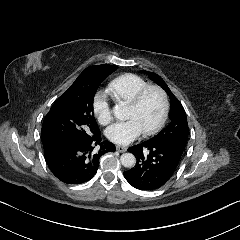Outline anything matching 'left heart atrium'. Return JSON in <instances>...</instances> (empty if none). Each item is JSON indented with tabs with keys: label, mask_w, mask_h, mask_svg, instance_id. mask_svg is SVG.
I'll use <instances>...</instances> for the list:
<instances>
[{
	"label": "left heart atrium",
	"mask_w": 240,
	"mask_h": 240,
	"mask_svg": "<svg viewBox=\"0 0 240 240\" xmlns=\"http://www.w3.org/2000/svg\"><path fill=\"white\" fill-rule=\"evenodd\" d=\"M142 132L140 126L135 120L117 123L106 131L107 138L118 144L127 145L136 139Z\"/></svg>",
	"instance_id": "left-heart-atrium-1"
}]
</instances>
